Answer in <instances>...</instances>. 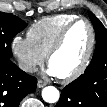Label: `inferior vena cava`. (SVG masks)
Returning <instances> with one entry per match:
<instances>
[{"label": "inferior vena cava", "instance_id": "602c4592", "mask_svg": "<svg viewBox=\"0 0 107 107\" xmlns=\"http://www.w3.org/2000/svg\"><path fill=\"white\" fill-rule=\"evenodd\" d=\"M18 66L21 70L28 72V73H32V72H35L37 70L36 66L34 64L24 62V61H20Z\"/></svg>", "mask_w": 107, "mask_h": 107}]
</instances>
